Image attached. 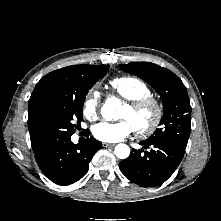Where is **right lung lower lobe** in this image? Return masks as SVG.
I'll list each match as a JSON object with an SVG mask.
<instances>
[{
  "label": "right lung lower lobe",
  "mask_w": 221,
  "mask_h": 221,
  "mask_svg": "<svg viewBox=\"0 0 221 221\" xmlns=\"http://www.w3.org/2000/svg\"><path fill=\"white\" fill-rule=\"evenodd\" d=\"M102 147L93 137L85 143L73 144L70 136L57 139L34 151L43 174L58 185L80 180L89 170V162Z\"/></svg>",
  "instance_id": "98d812e1"
}]
</instances>
